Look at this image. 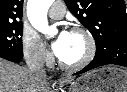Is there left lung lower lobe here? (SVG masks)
I'll use <instances>...</instances> for the list:
<instances>
[{
  "mask_svg": "<svg viewBox=\"0 0 127 92\" xmlns=\"http://www.w3.org/2000/svg\"><path fill=\"white\" fill-rule=\"evenodd\" d=\"M108 64L127 67V40H115L108 43L104 48L96 51V55L89 65L74 75Z\"/></svg>",
  "mask_w": 127,
  "mask_h": 92,
  "instance_id": "1",
  "label": "left lung lower lobe"
}]
</instances>
